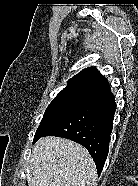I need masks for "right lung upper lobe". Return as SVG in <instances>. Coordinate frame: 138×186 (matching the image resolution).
<instances>
[{
    "instance_id": "right-lung-upper-lobe-1",
    "label": "right lung upper lobe",
    "mask_w": 138,
    "mask_h": 186,
    "mask_svg": "<svg viewBox=\"0 0 138 186\" xmlns=\"http://www.w3.org/2000/svg\"><path fill=\"white\" fill-rule=\"evenodd\" d=\"M69 87L84 88L92 91L110 89L108 80L97 71L96 67H88L72 77L68 81L66 88Z\"/></svg>"
}]
</instances>
